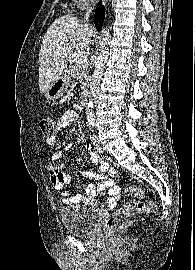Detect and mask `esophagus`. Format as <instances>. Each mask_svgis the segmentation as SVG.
<instances>
[{
    "instance_id": "esophagus-1",
    "label": "esophagus",
    "mask_w": 195,
    "mask_h": 270,
    "mask_svg": "<svg viewBox=\"0 0 195 270\" xmlns=\"http://www.w3.org/2000/svg\"><path fill=\"white\" fill-rule=\"evenodd\" d=\"M104 1V3H106L107 2V0H103Z\"/></svg>"
}]
</instances>
